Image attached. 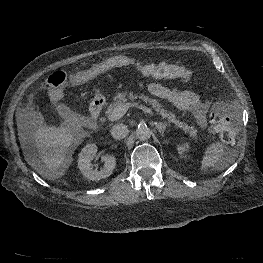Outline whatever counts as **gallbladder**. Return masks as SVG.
<instances>
[{"label":"gallbladder","mask_w":263,"mask_h":263,"mask_svg":"<svg viewBox=\"0 0 263 263\" xmlns=\"http://www.w3.org/2000/svg\"><path fill=\"white\" fill-rule=\"evenodd\" d=\"M56 111L60 117H62L65 121H71V123L76 122V115L72 113V111L65 104H57Z\"/></svg>","instance_id":"1"}]
</instances>
